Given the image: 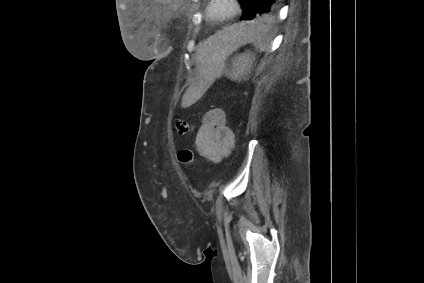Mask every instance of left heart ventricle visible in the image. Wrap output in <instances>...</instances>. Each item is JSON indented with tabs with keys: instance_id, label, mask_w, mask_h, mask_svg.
I'll use <instances>...</instances> for the list:
<instances>
[{
	"instance_id": "left-heart-ventricle-1",
	"label": "left heart ventricle",
	"mask_w": 424,
	"mask_h": 283,
	"mask_svg": "<svg viewBox=\"0 0 424 283\" xmlns=\"http://www.w3.org/2000/svg\"><path fill=\"white\" fill-rule=\"evenodd\" d=\"M230 10L229 4L225 0H220L218 3L215 4L213 8V12L216 15H223L228 13Z\"/></svg>"
}]
</instances>
